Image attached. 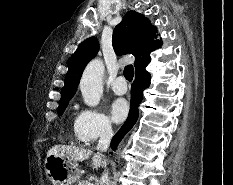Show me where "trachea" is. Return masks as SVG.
<instances>
[{
  "label": "trachea",
  "instance_id": "3493384b",
  "mask_svg": "<svg viewBox=\"0 0 233 185\" xmlns=\"http://www.w3.org/2000/svg\"><path fill=\"white\" fill-rule=\"evenodd\" d=\"M124 76L128 81H132L134 76V68L132 65H128L124 68Z\"/></svg>",
  "mask_w": 233,
  "mask_h": 185
}]
</instances>
